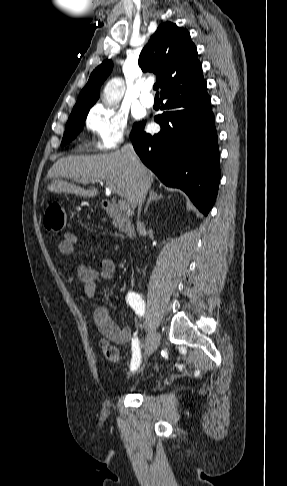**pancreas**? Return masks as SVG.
I'll use <instances>...</instances> for the list:
<instances>
[{
  "mask_svg": "<svg viewBox=\"0 0 287 486\" xmlns=\"http://www.w3.org/2000/svg\"><path fill=\"white\" fill-rule=\"evenodd\" d=\"M115 226L117 227V226H118V224H117V223H115ZM119 228H120V227H119Z\"/></svg>",
  "mask_w": 287,
  "mask_h": 486,
  "instance_id": "pancreas-1",
  "label": "pancreas"
}]
</instances>
